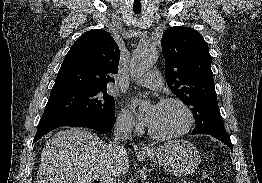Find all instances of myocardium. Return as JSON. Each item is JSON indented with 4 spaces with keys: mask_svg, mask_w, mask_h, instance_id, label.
I'll use <instances>...</instances> for the list:
<instances>
[{
    "mask_svg": "<svg viewBox=\"0 0 262 183\" xmlns=\"http://www.w3.org/2000/svg\"><path fill=\"white\" fill-rule=\"evenodd\" d=\"M171 103L177 104L185 110V112L187 113V117H188L187 125L182 130H180L176 133L170 134V135L157 134L150 127H148V129H147L148 134L153 139H156V140H159V141H168V140L177 139V138L185 135L186 133H188L193 128L194 121H195L194 113H193L191 107L186 102H184L183 100H181L179 98H175V97H167V98L160 100L158 105H165V104H171Z\"/></svg>",
    "mask_w": 262,
    "mask_h": 183,
    "instance_id": "obj_1",
    "label": "myocardium"
}]
</instances>
